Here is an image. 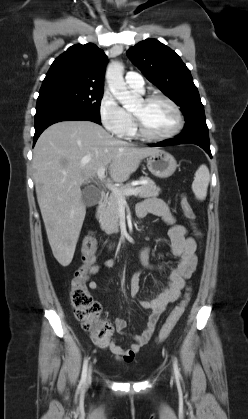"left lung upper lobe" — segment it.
Masks as SVG:
<instances>
[{
  "mask_svg": "<svg viewBox=\"0 0 248 419\" xmlns=\"http://www.w3.org/2000/svg\"><path fill=\"white\" fill-rule=\"evenodd\" d=\"M127 55L150 82L181 107L184 129L206 123L191 73L175 51L156 39H147L131 47Z\"/></svg>",
  "mask_w": 248,
  "mask_h": 419,
  "instance_id": "1",
  "label": "left lung upper lobe"
}]
</instances>
